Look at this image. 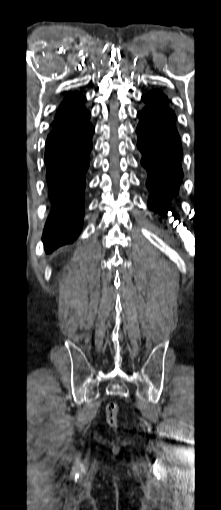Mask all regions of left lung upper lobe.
<instances>
[{"label": "left lung upper lobe", "instance_id": "obj_1", "mask_svg": "<svg viewBox=\"0 0 221 510\" xmlns=\"http://www.w3.org/2000/svg\"><path fill=\"white\" fill-rule=\"evenodd\" d=\"M146 103L142 112L148 114L155 122L163 128L178 133L175 127L176 116L167 105V97L160 90H152L142 96Z\"/></svg>", "mask_w": 221, "mask_h": 510}]
</instances>
